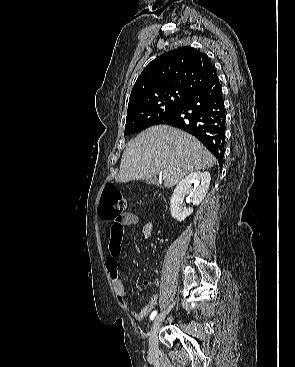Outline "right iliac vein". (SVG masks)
I'll list each match as a JSON object with an SVG mask.
<instances>
[{"label": "right iliac vein", "mask_w": 295, "mask_h": 367, "mask_svg": "<svg viewBox=\"0 0 295 367\" xmlns=\"http://www.w3.org/2000/svg\"><path fill=\"white\" fill-rule=\"evenodd\" d=\"M173 307V304L171 306H169L166 310H164L163 312H161L154 320L150 333H149V355L151 357H155L157 356L158 353V331L159 328L163 322V320L165 319V317L167 316V314L169 313V311L171 310V308Z\"/></svg>", "instance_id": "right-iliac-vein-1"}]
</instances>
